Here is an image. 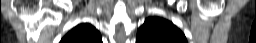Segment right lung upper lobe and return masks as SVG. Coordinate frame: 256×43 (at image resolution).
Returning a JSON list of instances; mask_svg holds the SVG:
<instances>
[{
  "label": "right lung upper lobe",
  "mask_w": 256,
  "mask_h": 43,
  "mask_svg": "<svg viewBox=\"0 0 256 43\" xmlns=\"http://www.w3.org/2000/svg\"><path fill=\"white\" fill-rule=\"evenodd\" d=\"M60 43H102V40L95 27L83 23L68 32Z\"/></svg>",
  "instance_id": "1"
}]
</instances>
